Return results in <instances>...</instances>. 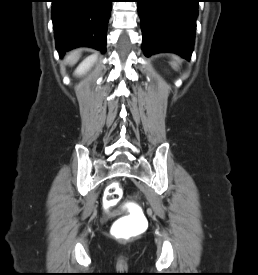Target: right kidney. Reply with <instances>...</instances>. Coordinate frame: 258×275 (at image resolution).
Wrapping results in <instances>:
<instances>
[{"instance_id":"ca27d5eb","label":"right kidney","mask_w":258,"mask_h":275,"mask_svg":"<svg viewBox=\"0 0 258 275\" xmlns=\"http://www.w3.org/2000/svg\"><path fill=\"white\" fill-rule=\"evenodd\" d=\"M97 59L96 55H91L89 57H87L86 59H84L79 66L76 68L75 70V75H83L85 74L95 63Z\"/></svg>"}]
</instances>
